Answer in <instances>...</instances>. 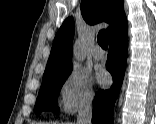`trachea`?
<instances>
[{
  "label": "trachea",
  "mask_w": 156,
  "mask_h": 124,
  "mask_svg": "<svg viewBox=\"0 0 156 124\" xmlns=\"http://www.w3.org/2000/svg\"><path fill=\"white\" fill-rule=\"evenodd\" d=\"M97 41L98 44L103 48V49H107L108 48V34L107 32L102 29L97 36Z\"/></svg>",
  "instance_id": "3493384b"
}]
</instances>
